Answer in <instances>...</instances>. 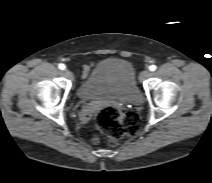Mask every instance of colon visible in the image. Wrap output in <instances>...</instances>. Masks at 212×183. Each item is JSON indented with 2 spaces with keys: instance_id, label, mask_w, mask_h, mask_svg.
Wrapping results in <instances>:
<instances>
[{
  "instance_id": "1",
  "label": "colon",
  "mask_w": 212,
  "mask_h": 183,
  "mask_svg": "<svg viewBox=\"0 0 212 183\" xmlns=\"http://www.w3.org/2000/svg\"><path fill=\"white\" fill-rule=\"evenodd\" d=\"M93 123L113 145L118 144L126 136L137 134L141 129V120L136 113L123 112L113 104L99 109L93 115Z\"/></svg>"
}]
</instances>
